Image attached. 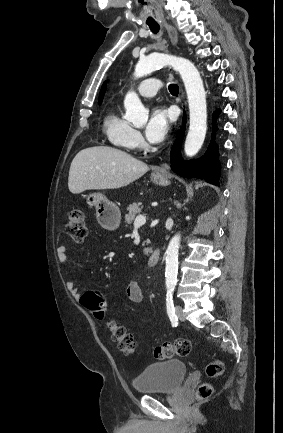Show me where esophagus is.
<instances>
[{"label": "esophagus", "mask_w": 283, "mask_h": 433, "mask_svg": "<svg viewBox=\"0 0 283 433\" xmlns=\"http://www.w3.org/2000/svg\"><path fill=\"white\" fill-rule=\"evenodd\" d=\"M163 26L166 28L167 33L169 35V38L171 40V43L173 45H177L178 43V34L177 31L172 25H169L168 23H164ZM169 169V166L166 163H162L158 167H156V172H166Z\"/></svg>", "instance_id": "obj_1"}]
</instances>
